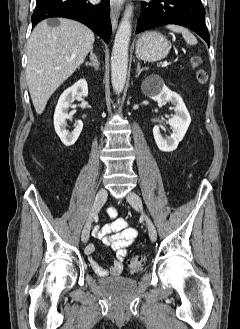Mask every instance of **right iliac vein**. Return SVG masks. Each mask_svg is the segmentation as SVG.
I'll return each mask as SVG.
<instances>
[{
  "instance_id": "obj_1",
  "label": "right iliac vein",
  "mask_w": 240,
  "mask_h": 329,
  "mask_svg": "<svg viewBox=\"0 0 240 329\" xmlns=\"http://www.w3.org/2000/svg\"><path fill=\"white\" fill-rule=\"evenodd\" d=\"M107 196H108V194H107L106 189L101 188L95 197L94 205L92 207V212L90 213V215L84 225V228L82 230L81 238L84 243H86L89 239L92 221H93L94 217L96 216V214L98 213V211L101 209V207L106 202Z\"/></svg>"
}]
</instances>
